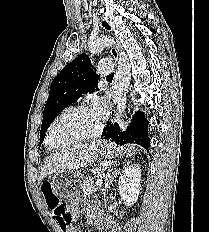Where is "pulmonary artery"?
<instances>
[{
	"label": "pulmonary artery",
	"mask_w": 209,
	"mask_h": 232,
	"mask_svg": "<svg viewBox=\"0 0 209 232\" xmlns=\"http://www.w3.org/2000/svg\"><path fill=\"white\" fill-rule=\"evenodd\" d=\"M113 65L110 60H102L99 62L97 71L101 75H107L112 71Z\"/></svg>",
	"instance_id": "obj_1"
}]
</instances>
